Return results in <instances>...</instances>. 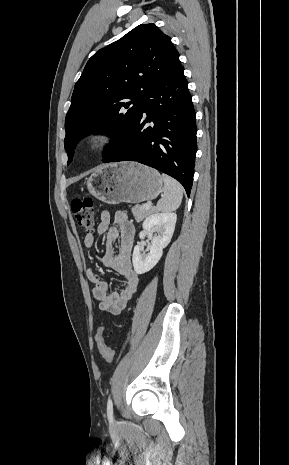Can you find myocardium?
I'll return each instance as SVG.
<instances>
[{"label": "myocardium", "instance_id": "f54148a6", "mask_svg": "<svg viewBox=\"0 0 289 465\" xmlns=\"http://www.w3.org/2000/svg\"><path fill=\"white\" fill-rule=\"evenodd\" d=\"M116 140L114 131L108 126L97 125L85 134L82 147L87 153H98L110 147Z\"/></svg>", "mask_w": 289, "mask_h": 465}]
</instances>
